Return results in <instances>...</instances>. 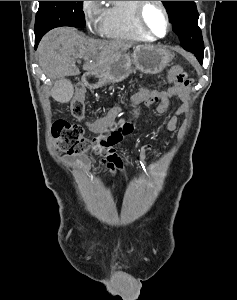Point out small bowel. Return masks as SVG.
<instances>
[{"mask_svg":"<svg viewBox=\"0 0 237 300\" xmlns=\"http://www.w3.org/2000/svg\"><path fill=\"white\" fill-rule=\"evenodd\" d=\"M169 81L174 80V74L171 73L168 76ZM186 87L180 85H172L167 90L163 91L159 103L157 105L158 113H165L170 106V102L172 98H176L179 100H183L186 97ZM155 90L152 88L144 89L137 94H135L132 98V102L134 104H138L142 102L144 97H146L150 93H154ZM120 110L115 108L112 109L105 117L97 119L94 122H87L86 125L89 130L93 133H101L105 129H107L115 120L116 116L119 114ZM181 113V110L175 112V114L166 122V127L169 130H174L177 125V116ZM150 149L149 145H144L141 149L142 154ZM96 154L100 157L101 163L104 164L109 170L112 172H119L123 175V164L121 157L116 153L114 149L110 150H98ZM64 160L68 162L70 165L74 166L79 173V175H84L87 173L90 167V163L87 159H76L70 156H65Z\"/></svg>","mask_w":237,"mask_h":300,"instance_id":"small-bowel-1","label":"small bowel"}]
</instances>
